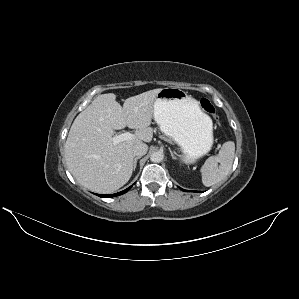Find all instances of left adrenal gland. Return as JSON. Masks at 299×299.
<instances>
[{
	"mask_svg": "<svg viewBox=\"0 0 299 299\" xmlns=\"http://www.w3.org/2000/svg\"><path fill=\"white\" fill-rule=\"evenodd\" d=\"M169 151H170V155L172 157V159H176V157L174 156V152H172V150L169 148Z\"/></svg>",
	"mask_w": 299,
	"mask_h": 299,
	"instance_id": "left-adrenal-gland-1",
	"label": "left adrenal gland"
}]
</instances>
